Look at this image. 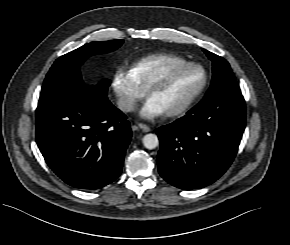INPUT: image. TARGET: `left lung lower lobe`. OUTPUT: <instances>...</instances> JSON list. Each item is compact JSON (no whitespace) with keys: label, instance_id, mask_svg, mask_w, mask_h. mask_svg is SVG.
Masks as SVG:
<instances>
[{"label":"left lung lower lobe","instance_id":"1","mask_svg":"<svg viewBox=\"0 0 290 245\" xmlns=\"http://www.w3.org/2000/svg\"><path fill=\"white\" fill-rule=\"evenodd\" d=\"M244 129L241 93L202 100L181 119L156 129L160 175L184 190L212 184L231 165Z\"/></svg>","mask_w":290,"mask_h":245}]
</instances>
